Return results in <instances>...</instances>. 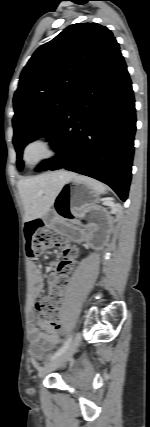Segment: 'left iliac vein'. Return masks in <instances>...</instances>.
<instances>
[{
  "label": "left iliac vein",
  "instance_id": "4c4485c4",
  "mask_svg": "<svg viewBox=\"0 0 150 427\" xmlns=\"http://www.w3.org/2000/svg\"><path fill=\"white\" fill-rule=\"evenodd\" d=\"M80 342H81V333L78 332V333H76V335H75L71 345L69 346V348L64 353H62L60 356H58L57 358H55L54 360H52L51 362L46 364L40 370L39 377L43 378L44 376H46L51 371L61 367L67 361H69L72 358V356L74 355V353L76 352L78 346L80 345Z\"/></svg>",
  "mask_w": 150,
  "mask_h": 427
}]
</instances>
